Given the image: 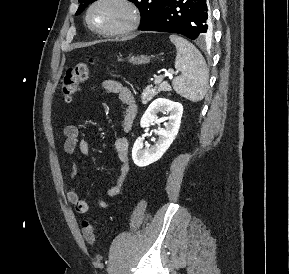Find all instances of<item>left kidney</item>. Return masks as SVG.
I'll use <instances>...</instances> for the list:
<instances>
[{
  "label": "left kidney",
  "mask_w": 289,
  "mask_h": 274,
  "mask_svg": "<svg viewBox=\"0 0 289 274\" xmlns=\"http://www.w3.org/2000/svg\"><path fill=\"white\" fill-rule=\"evenodd\" d=\"M159 112H167L169 116L163 119L167 121L165 128H158L156 131L159 138L155 141L154 145L144 148V138L142 137H138L134 143L132 159L139 167L148 166L159 160L178 134L183 106L181 103L164 98H158L150 104L141 118V127L148 128L151 124L160 122L158 120Z\"/></svg>",
  "instance_id": "left-kidney-1"
}]
</instances>
